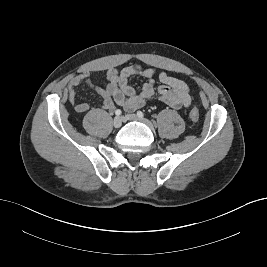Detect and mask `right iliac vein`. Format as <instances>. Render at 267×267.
<instances>
[{"mask_svg": "<svg viewBox=\"0 0 267 267\" xmlns=\"http://www.w3.org/2000/svg\"><path fill=\"white\" fill-rule=\"evenodd\" d=\"M121 125H122V118L119 116L115 117L113 120V126L115 128H119V127H121Z\"/></svg>", "mask_w": 267, "mask_h": 267, "instance_id": "1", "label": "right iliac vein"}]
</instances>
